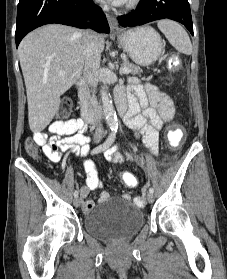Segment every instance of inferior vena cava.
Here are the masks:
<instances>
[{
    "instance_id": "obj_1",
    "label": "inferior vena cava",
    "mask_w": 227,
    "mask_h": 279,
    "mask_svg": "<svg viewBox=\"0 0 227 279\" xmlns=\"http://www.w3.org/2000/svg\"><path fill=\"white\" fill-rule=\"evenodd\" d=\"M85 34V64L83 77L90 86L96 87L98 82V71L100 67L101 52L94 33H91L90 30H86ZM103 134V127L100 121H97L95 136L101 137Z\"/></svg>"
}]
</instances>
